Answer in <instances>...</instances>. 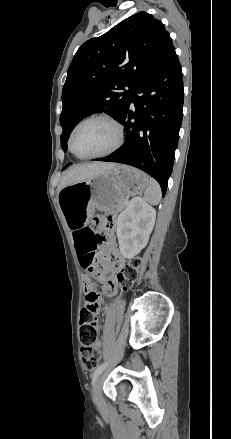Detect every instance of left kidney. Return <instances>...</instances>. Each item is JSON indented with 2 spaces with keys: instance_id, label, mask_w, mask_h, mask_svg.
Returning <instances> with one entry per match:
<instances>
[{
  "instance_id": "1",
  "label": "left kidney",
  "mask_w": 231,
  "mask_h": 439,
  "mask_svg": "<svg viewBox=\"0 0 231 439\" xmlns=\"http://www.w3.org/2000/svg\"><path fill=\"white\" fill-rule=\"evenodd\" d=\"M155 219V209L142 198L135 197L128 203L117 219V237L122 256L131 259L145 248Z\"/></svg>"
}]
</instances>
